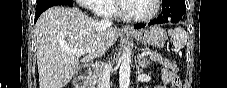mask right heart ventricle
Instances as JSON below:
<instances>
[{
  "instance_id": "e07e8e85",
  "label": "right heart ventricle",
  "mask_w": 227,
  "mask_h": 88,
  "mask_svg": "<svg viewBox=\"0 0 227 88\" xmlns=\"http://www.w3.org/2000/svg\"><path fill=\"white\" fill-rule=\"evenodd\" d=\"M103 9H105L106 11H108L109 15L116 13V11L114 9V6L112 4H110V3L105 4L103 6Z\"/></svg>"
}]
</instances>
